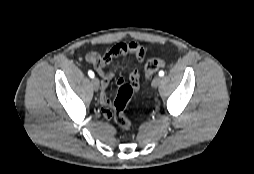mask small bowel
Here are the masks:
<instances>
[{
  "mask_svg": "<svg viewBox=\"0 0 254 174\" xmlns=\"http://www.w3.org/2000/svg\"><path fill=\"white\" fill-rule=\"evenodd\" d=\"M127 53L132 54L138 61H143L145 58V52L143 48L137 44H119L113 47L108 53L104 56H101L97 53H89L86 55V62L94 65L97 72L102 77L101 81V95H100V103H101V112L106 119H110L112 116L111 111V102L107 95V87L109 81L112 79L114 75V68L107 70L106 66L117 56L125 55ZM125 80L123 78H119L117 80V84L119 86L123 85ZM129 83L134 85L136 89L140 83V72L137 69H134L129 74Z\"/></svg>",
  "mask_w": 254,
  "mask_h": 174,
  "instance_id": "small-bowel-1",
  "label": "small bowel"
}]
</instances>
